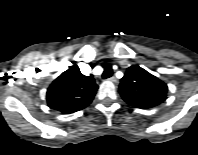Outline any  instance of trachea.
<instances>
[{"mask_svg": "<svg viewBox=\"0 0 198 155\" xmlns=\"http://www.w3.org/2000/svg\"><path fill=\"white\" fill-rule=\"evenodd\" d=\"M112 76V69L111 68H106L102 74L103 79H107Z\"/></svg>", "mask_w": 198, "mask_h": 155, "instance_id": "1", "label": "trachea"}]
</instances>
